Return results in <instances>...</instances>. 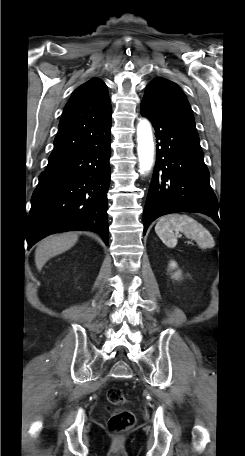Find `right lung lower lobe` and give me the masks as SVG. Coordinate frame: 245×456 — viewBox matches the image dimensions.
Masks as SVG:
<instances>
[{"mask_svg": "<svg viewBox=\"0 0 245 456\" xmlns=\"http://www.w3.org/2000/svg\"><path fill=\"white\" fill-rule=\"evenodd\" d=\"M110 129L89 147L48 162L31 199L28 249L47 235L68 230L95 231L108 245Z\"/></svg>", "mask_w": 245, "mask_h": 456, "instance_id": "98d812e1", "label": "right lung lower lobe"}]
</instances>
